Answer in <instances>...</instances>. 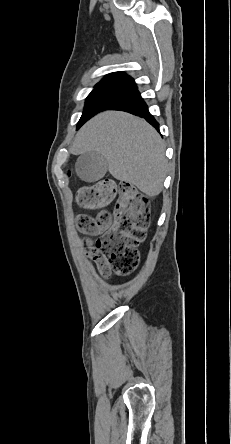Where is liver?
I'll list each match as a JSON object with an SVG mask.
<instances>
[{
  "mask_svg": "<svg viewBox=\"0 0 231 444\" xmlns=\"http://www.w3.org/2000/svg\"><path fill=\"white\" fill-rule=\"evenodd\" d=\"M89 151L106 158L115 179L149 197L162 191L167 172L165 146L145 120L121 111L99 113L79 130L70 148L75 155Z\"/></svg>",
  "mask_w": 231,
  "mask_h": 444,
  "instance_id": "6515ba94",
  "label": "liver"
}]
</instances>
